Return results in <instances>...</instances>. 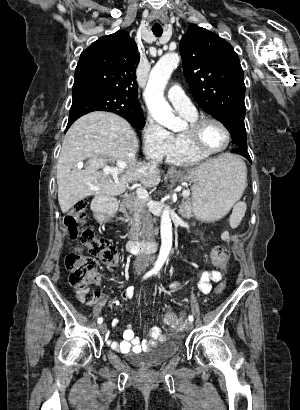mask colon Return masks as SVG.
I'll return each mask as SVG.
<instances>
[{"label":"colon","instance_id":"colon-1","mask_svg":"<svg viewBox=\"0 0 300 410\" xmlns=\"http://www.w3.org/2000/svg\"><path fill=\"white\" fill-rule=\"evenodd\" d=\"M87 202L82 200L66 213L64 225L67 227L71 239H79L81 244L87 249L89 255L70 253L65 258V265L69 271L70 283L79 288L85 287L97 275L98 259L108 268L118 264L116 247L106 238L97 235L91 228L84 227L86 218ZM211 259L214 264L224 266L228 259V252L222 245H216L211 250ZM225 285L220 283L216 287L217 292H221ZM165 322L170 326L178 324L175 313L168 311L164 316Z\"/></svg>","mask_w":300,"mask_h":410}]
</instances>
